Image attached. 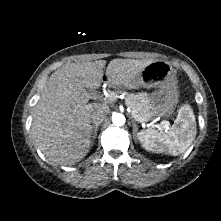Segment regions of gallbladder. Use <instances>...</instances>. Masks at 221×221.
<instances>
[{
    "instance_id": "obj_1",
    "label": "gallbladder",
    "mask_w": 221,
    "mask_h": 221,
    "mask_svg": "<svg viewBox=\"0 0 221 221\" xmlns=\"http://www.w3.org/2000/svg\"><path fill=\"white\" fill-rule=\"evenodd\" d=\"M89 91L92 93L93 92V90L92 89H89Z\"/></svg>"
}]
</instances>
